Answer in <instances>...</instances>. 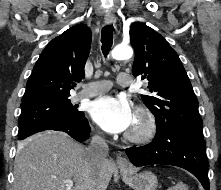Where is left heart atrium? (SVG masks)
<instances>
[{
  "label": "left heart atrium",
  "mask_w": 221,
  "mask_h": 190,
  "mask_svg": "<svg viewBox=\"0 0 221 190\" xmlns=\"http://www.w3.org/2000/svg\"><path fill=\"white\" fill-rule=\"evenodd\" d=\"M90 114L92 119L109 133L126 131L135 120V114L127 100L109 95L93 101Z\"/></svg>",
  "instance_id": "1"
}]
</instances>
